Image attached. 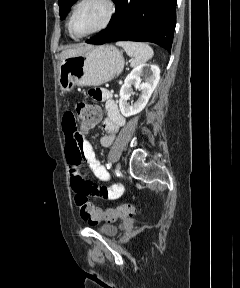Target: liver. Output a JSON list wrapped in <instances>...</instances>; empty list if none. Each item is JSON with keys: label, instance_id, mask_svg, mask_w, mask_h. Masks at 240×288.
Listing matches in <instances>:
<instances>
[{"label": "liver", "instance_id": "1", "mask_svg": "<svg viewBox=\"0 0 240 288\" xmlns=\"http://www.w3.org/2000/svg\"><path fill=\"white\" fill-rule=\"evenodd\" d=\"M86 47H88V45H79L76 48L64 50L60 54V58H61V60H63V59L68 58L70 56L77 55L78 53L83 51Z\"/></svg>", "mask_w": 240, "mask_h": 288}]
</instances>
